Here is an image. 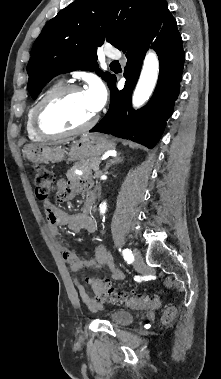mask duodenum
<instances>
[{"label": "duodenum", "mask_w": 221, "mask_h": 379, "mask_svg": "<svg viewBox=\"0 0 221 379\" xmlns=\"http://www.w3.org/2000/svg\"><path fill=\"white\" fill-rule=\"evenodd\" d=\"M93 203H94V194L91 193L86 201V204H85V210L86 212H89L91 211L92 207H93Z\"/></svg>", "instance_id": "410a0bca"}]
</instances>
